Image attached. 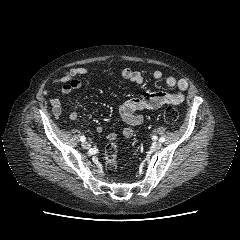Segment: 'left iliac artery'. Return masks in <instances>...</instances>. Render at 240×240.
I'll return each mask as SVG.
<instances>
[{
    "instance_id": "left-iliac-artery-1",
    "label": "left iliac artery",
    "mask_w": 240,
    "mask_h": 240,
    "mask_svg": "<svg viewBox=\"0 0 240 240\" xmlns=\"http://www.w3.org/2000/svg\"><path fill=\"white\" fill-rule=\"evenodd\" d=\"M159 141L163 143L165 141V138L164 137H160Z\"/></svg>"
}]
</instances>
